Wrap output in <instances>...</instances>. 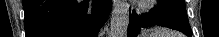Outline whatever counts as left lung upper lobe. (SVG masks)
<instances>
[{
  "label": "left lung upper lobe",
  "mask_w": 219,
  "mask_h": 37,
  "mask_svg": "<svg viewBox=\"0 0 219 37\" xmlns=\"http://www.w3.org/2000/svg\"><path fill=\"white\" fill-rule=\"evenodd\" d=\"M157 5L159 9L172 13L182 23L190 26L184 0H157Z\"/></svg>",
  "instance_id": "obj_1"
}]
</instances>
